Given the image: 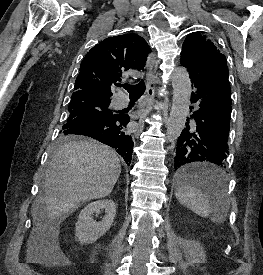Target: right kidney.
Wrapping results in <instances>:
<instances>
[{
    "label": "right kidney",
    "instance_id": "1",
    "mask_svg": "<svg viewBox=\"0 0 263 275\" xmlns=\"http://www.w3.org/2000/svg\"><path fill=\"white\" fill-rule=\"evenodd\" d=\"M105 210L102 221L96 222L92 215ZM116 214V205L113 200L105 199L92 202L82 209L76 223L75 236L81 244H89L98 240L112 226Z\"/></svg>",
    "mask_w": 263,
    "mask_h": 275
}]
</instances>
